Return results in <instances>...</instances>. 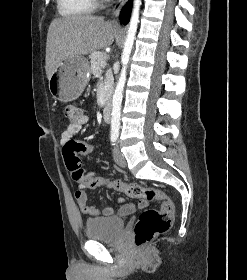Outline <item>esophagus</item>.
<instances>
[{
	"label": "esophagus",
	"instance_id": "esophagus-1",
	"mask_svg": "<svg viewBox=\"0 0 247 280\" xmlns=\"http://www.w3.org/2000/svg\"><path fill=\"white\" fill-rule=\"evenodd\" d=\"M128 0H118L117 4L115 5L113 9V18L114 20H117L119 18L120 11L125 6Z\"/></svg>",
	"mask_w": 247,
	"mask_h": 280
}]
</instances>
